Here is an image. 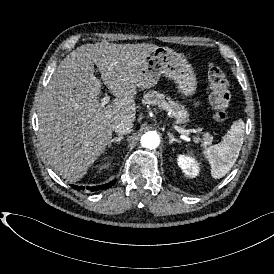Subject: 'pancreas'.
Masks as SVG:
<instances>
[{"mask_svg":"<svg viewBox=\"0 0 274 274\" xmlns=\"http://www.w3.org/2000/svg\"><path fill=\"white\" fill-rule=\"evenodd\" d=\"M143 103L151 107H157L161 111L170 112L171 117L175 119L177 124L184 123L188 116L182 104L178 101H172L171 97H165L164 93L156 90H151L150 93L145 94ZM195 141L200 143L201 146H207L212 143L213 136L209 132L202 133L200 138H195Z\"/></svg>","mask_w":274,"mask_h":274,"instance_id":"pancreas-1","label":"pancreas"}]
</instances>
